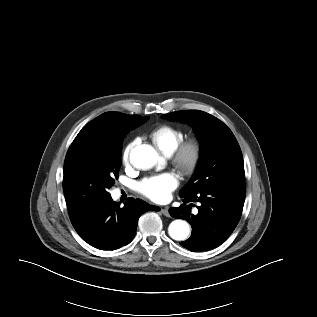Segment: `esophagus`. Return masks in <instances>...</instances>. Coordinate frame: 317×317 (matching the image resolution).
Here are the masks:
<instances>
[{"instance_id":"34e87169","label":"esophagus","mask_w":317,"mask_h":317,"mask_svg":"<svg viewBox=\"0 0 317 317\" xmlns=\"http://www.w3.org/2000/svg\"><path fill=\"white\" fill-rule=\"evenodd\" d=\"M161 213L166 217H170V213L167 207L161 208Z\"/></svg>"}]
</instances>
